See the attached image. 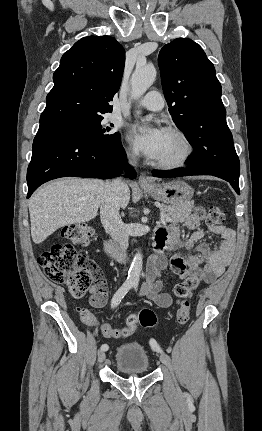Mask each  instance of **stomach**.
Segmentation results:
<instances>
[{
	"label": "stomach",
	"mask_w": 262,
	"mask_h": 431,
	"mask_svg": "<svg viewBox=\"0 0 262 431\" xmlns=\"http://www.w3.org/2000/svg\"><path fill=\"white\" fill-rule=\"evenodd\" d=\"M143 190L156 200L171 206L190 205L194 194L193 188L182 180L153 184L143 187Z\"/></svg>",
	"instance_id": "1"
}]
</instances>
